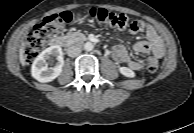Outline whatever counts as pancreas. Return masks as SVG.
Returning a JSON list of instances; mask_svg holds the SVG:
<instances>
[{
    "instance_id": "pancreas-1",
    "label": "pancreas",
    "mask_w": 194,
    "mask_h": 133,
    "mask_svg": "<svg viewBox=\"0 0 194 133\" xmlns=\"http://www.w3.org/2000/svg\"><path fill=\"white\" fill-rule=\"evenodd\" d=\"M66 39L70 41H77L81 38H84V34L79 33V32H68L65 36Z\"/></svg>"
}]
</instances>
